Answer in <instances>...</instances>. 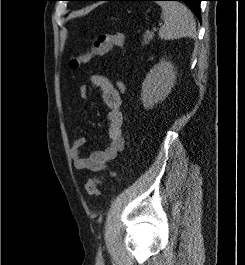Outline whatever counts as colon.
Returning <instances> with one entry per match:
<instances>
[{
    "instance_id": "5ec220e1",
    "label": "colon",
    "mask_w": 245,
    "mask_h": 265,
    "mask_svg": "<svg viewBox=\"0 0 245 265\" xmlns=\"http://www.w3.org/2000/svg\"><path fill=\"white\" fill-rule=\"evenodd\" d=\"M124 45L125 37L123 33L100 34L87 49L71 57L69 67L73 70H77L81 65L88 63L93 57L104 55L113 48L123 49ZM117 88L120 92H125L127 88L126 83L122 80L118 81ZM99 182V178L96 177L86 182L85 190L89 196H97L99 194Z\"/></svg>"
}]
</instances>
